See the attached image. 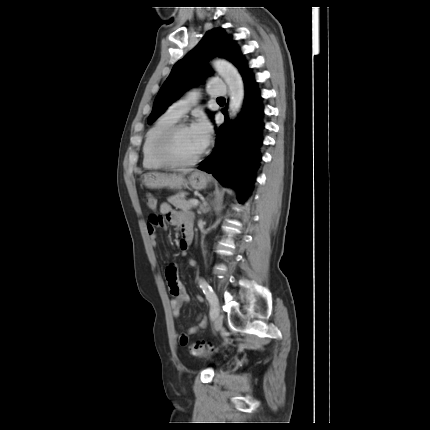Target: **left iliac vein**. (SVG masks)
Listing matches in <instances>:
<instances>
[{"label":"left iliac vein","mask_w":430,"mask_h":430,"mask_svg":"<svg viewBox=\"0 0 430 430\" xmlns=\"http://www.w3.org/2000/svg\"><path fill=\"white\" fill-rule=\"evenodd\" d=\"M213 322H214V329L216 331L221 330V328H222V317L220 315L219 305L216 306V308H215V315L213 317Z\"/></svg>","instance_id":"obj_1"}]
</instances>
